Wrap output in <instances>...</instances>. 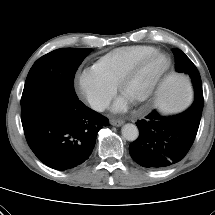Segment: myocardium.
<instances>
[{
	"label": "myocardium",
	"mask_w": 215,
	"mask_h": 215,
	"mask_svg": "<svg viewBox=\"0 0 215 215\" xmlns=\"http://www.w3.org/2000/svg\"><path fill=\"white\" fill-rule=\"evenodd\" d=\"M158 56H162L165 58V64L158 73V75L155 77L151 85L148 87L146 92L134 101V103L136 104H143L149 101L158 90L159 86L161 85L164 78L168 74L171 66V59L168 56V54L159 50H154L144 55L127 70V72L124 74V76L121 78L119 82V89L124 94L127 86L137 77V75L148 64V62H150L153 58Z\"/></svg>",
	"instance_id": "1"
}]
</instances>
